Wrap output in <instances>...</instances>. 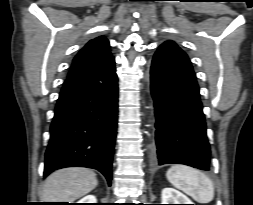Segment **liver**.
<instances>
[{"label":"liver","mask_w":253,"mask_h":205,"mask_svg":"<svg viewBox=\"0 0 253 205\" xmlns=\"http://www.w3.org/2000/svg\"><path fill=\"white\" fill-rule=\"evenodd\" d=\"M98 185L96 174L88 168H65L53 172L44 183L42 200L69 202L91 192Z\"/></svg>","instance_id":"obj_1"}]
</instances>
